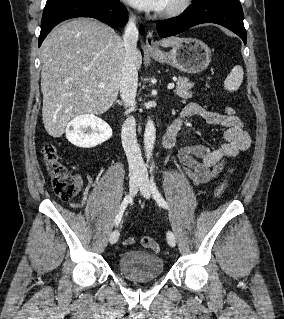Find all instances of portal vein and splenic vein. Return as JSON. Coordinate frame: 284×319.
<instances>
[{"label": "portal vein and splenic vein", "instance_id": "portal-vein-and-splenic-vein-1", "mask_svg": "<svg viewBox=\"0 0 284 319\" xmlns=\"http://www.w3.org/2000/svg\"><path fill=\"white\" fill-rule=\"evenodd\" d=\"M100 88H104L105 87V84L104 83H99L98 85ZM175 87L174 83H169L167 88L168 89H173Z\"/></svg>", "mask_w": 284, "mask_h": 319}]
</instances>
